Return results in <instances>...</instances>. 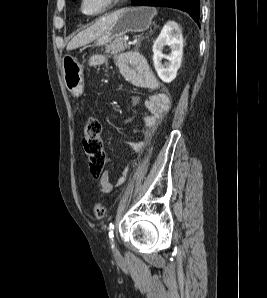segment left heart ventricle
Here are the masks:
<instances>
[{"mask_svg": "<svg viewBox=\"0 0 267 298\" xmlns=\"http://www.w3.org/2000/svg\"><path fill=\"white\" fill-rule=\"evenodd\" d=\"M105 3L106 0H86L85 11L89 13L96 12L100 10Z\"/></svg>", "mask_w": 267, "mask_h": 298, "instance_id": "left-heart-ventricle-1", "label": "left heart ventricle"}]
</instances>
